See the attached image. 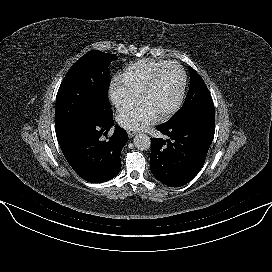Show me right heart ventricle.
I'll list each match as a JSON object with an SVG mask.
<instances>
[{"label":"right heart ventricle","instance_id":"obj_1","mask_svg":"<svg viewBox=\"0 0 272 272\" xmlns=\"http://www.w3.org/2000/svg\"><path fill=\"white\" fill-rule=\"evenodd\" d=\"M167 63V61L156 59L138 60L125 68L120 76V81L139 95L154 74Z\"/></svg>","mask_w":272,"mask_h":272}]
</instances>
